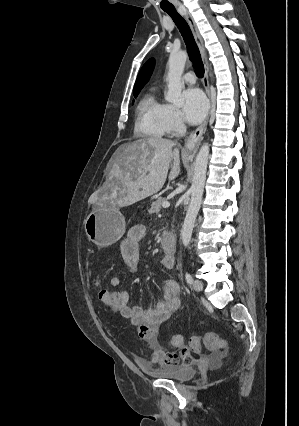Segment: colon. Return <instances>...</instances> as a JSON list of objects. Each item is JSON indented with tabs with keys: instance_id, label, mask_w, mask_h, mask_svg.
I'll list each match as a JSON object with an SVG mask.
<instances>
[{
	"instance_id": "5ec220e1",
	"label": "colon",
	"mask_w": 299,
	"mask_h": 426,
	"mask_svg": "<svg viewBox=\"0 0 299 426\" xmlns=\"http://www.w3.org/2000/svg\"><path fill=\"white\" fill-rule=\"evenodd\" d=\"M120 291L113 287L101 286L98 290V298L100 302L112 311H116L120 304ZM169 344L175 348L199 353L203 347L215 350L226 347V341L214 332H208L203 336H193L189 340L187 347L183 346V338L179 334L172 335L169 339Z\"/></svg>"
}]
</instances>
